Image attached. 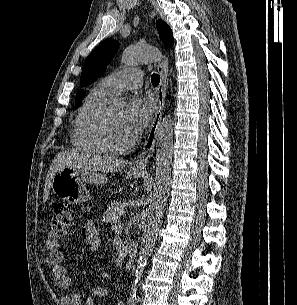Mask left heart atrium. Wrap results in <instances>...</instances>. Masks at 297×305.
Listing matches in <instances>:
<instances>
[{
    "instance_id": "39dd6f15",
    "label": "left heart atrium",
    "mask_w": 297,
    "mask_h": 305,
    "mask_svg": "<svg viewBox=\"0 0 297 305\" xmlns=\"http://www.w3.org/2000/svg\"><path fill=\"white\" fill-rule=\"evenodd\" d=\"M155 104L150 97L135 96L123 114V125L132 139L137 137L151 120Z\"/></svg>"
}]
</instances>
